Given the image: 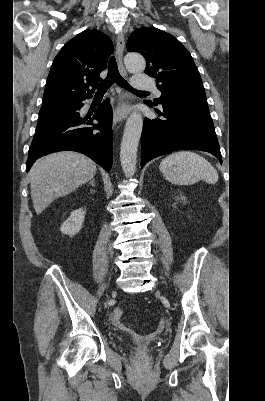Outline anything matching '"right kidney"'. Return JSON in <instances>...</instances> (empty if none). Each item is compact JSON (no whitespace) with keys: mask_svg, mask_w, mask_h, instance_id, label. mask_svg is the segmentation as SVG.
I'll list each match as a JSON object with an SVG mask.
<instances>
[{"mask_svg":"<svg viewBox=\"0 0 265 401\" xmlns=\"http://www.w3.org/2000/svg\"><path fill=\"white\" fill-rule=\"evenodd\" d=\"M85 219V211L83 209H76V211H72L70 217H68L65 223L61 225V233L63 235H76L82 229V223H84Z\"/></svg>","mask_w":265,"mask_h":401,"instance_id":"right-kidney-1","label":"right kidney"}]
</instances>
